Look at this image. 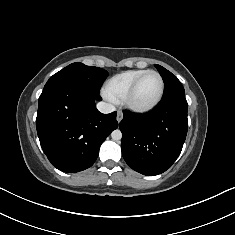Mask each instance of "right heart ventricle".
Segmentation results:
<instances>
[{
    "mask_svg": "<svg viewBox=\"0 0 235 235\" xmlns=\"http://www.w3.org/2000/svg\"><path fill=\"white\" fill-rule=\"evenodd\" d=\"M145 69H133L118 73L107 80L104 86V93L112 101H122L127 90L134 80L144 73Z\"/></svg>",
    "mask_w": 235,
    "mask_h": 235,
    "instance_id": "right-heart-ventricle-1",
    "label": "right heart ventricle"
}]
</instances>
